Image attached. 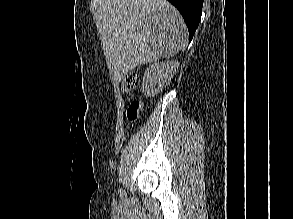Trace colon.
Masks as SVG:
<instances>
[{
  "mask_svg": "<svg viewBox=\"0 0 293 219\" xmlns=\"http://www.w3.org/2000/svg\"><path fill=\"white\" fill-rule=\"evenodd\" d=\"M139 82V76L136 72H129L123 78L122 88L126 92H130L136 88ZM141 104L139 101H133L130 103L127 109V118L131 122H135L138 119Z\"/></svg>",
  "mask_w": 293,
  "mask_h": 219,
  "instance_id": "obj_1",
  "label": "colon"
}]
</instances>
